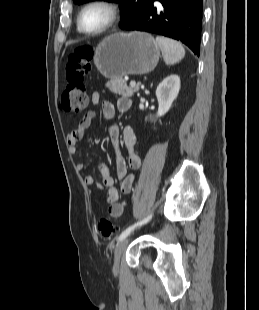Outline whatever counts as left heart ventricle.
I'll use <instances>...</instances> for the list:
<instances>
[{
	"mask_svg": "<svg viewBox=\"0 0 259 310\" xmlns=\"http://www.w3.org/2000/svg\"><path fill=\"white\" fill-rule=\"evenodd\" d=\"M109 14L102 7L87 9L82 16V24L87 30H97L108 20Z\"/></svg>",
	"mask_w": 259,
	"mask_h": 310,
	"instance_id": "1",
	"label": "left heart ventricle"
}]
</instances>
